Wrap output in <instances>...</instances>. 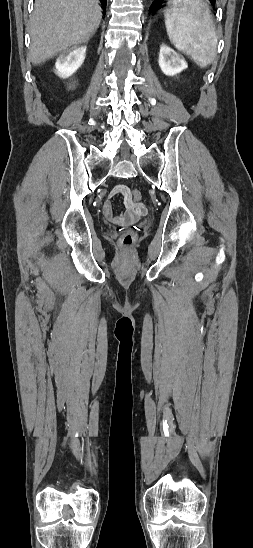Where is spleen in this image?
I'll list each match as a JSON object with an SVG mask.
<instances>
[{"label":"spleen","instance_id":"obj_1","mask_svg":"<svg viewBox=\"0 0 253 548\" xmlns=\"http://www.w3.org/2000/svg\"><path fill=\"white\" fill-rule=\"evenodd\" d=\"M165 26L171 43L200 68L215 59L217 36L208 5L203 0H172Z\"/></svg>","mask_w":253,"mask_h":548}]
</instances>
